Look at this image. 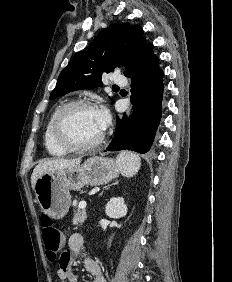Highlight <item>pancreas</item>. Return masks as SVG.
Masks as SVG:
<instances>
[{
  "label": "pancreas",
  "mask_w": 232,
  "mask_h": 282,
  "mask_svg": "<svg viewBox=\"0 0 232 282\" xmlns=\"http://www.w3.org/2000/svg\"><path fill=\"white\" fill-rule=\"evenodd\" d=\"M86 220V212L84 209L78 208L77 213H75L73 218V225L78 226L82 225Z\"/></svg>",
  "instance_id": "pancreas-1"
}]
</instances>
